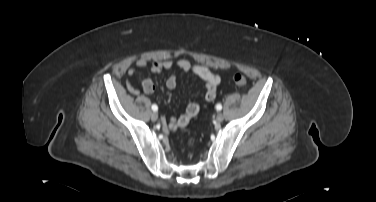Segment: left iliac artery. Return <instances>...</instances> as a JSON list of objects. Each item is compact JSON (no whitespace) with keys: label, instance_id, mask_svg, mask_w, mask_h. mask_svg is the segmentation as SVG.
Returning <instances> with one entry per match:
<instances>
[{"label":"left iliac artery","instance_id":"left-iliac-artery-1","mask_svg":"<svg viewBox=\"0 0 376 202\" xmlns=\"http://www.w3.org/2000/svg\"><path fill=\"white\" fill-rule=\"evenodd\" d=\"M216 109H217V110H221V109H222V105H221V104H217V105H216Z\"/></svg>","mask_w":376,"mask_h":202}]
</instances>
